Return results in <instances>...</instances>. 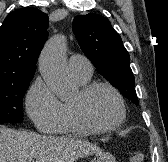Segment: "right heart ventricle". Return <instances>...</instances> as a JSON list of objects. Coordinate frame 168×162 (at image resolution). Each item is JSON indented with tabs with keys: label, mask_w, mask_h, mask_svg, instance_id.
Instances as JSON below:
<instances>
[{
	"label": "right heart ventricle",
	"mask_w": 168,
	"mask_h": 162,
	"mask_svg": "<svg viewBox=\"0 0 168 162\" xmlns=\"http://www.w3.org/2000/svg\"><path fill=\"white\" fill-rule=\"evenodd\" d=\"M81 85H85L88 81H81L77 79ZM64 117L62 123L53 131L55 134L60 135H86L90 131L79 124L70 102L63 103Z\"/></svg>",
	"instance_id": "1"
}]
</instances>
